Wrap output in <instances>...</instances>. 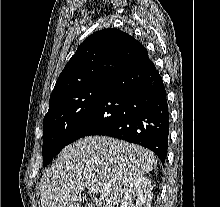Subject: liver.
Masks as SVG:
<instances>
[{"instance_id": "liver-1", "label": "liver", "mask_w": 220, "mask_h": 207, "mask_svg": "<svg viewBox=\"0 0 220 207\" xmlns=\"http://www.w3.org/2000/svg\"><path fill=\"white\" fill-rule=\"evenodd\" d=\"M157 165L153 152L105 136L66 146L40 180L41 207H81V193L100 189L92 207H116L127 187Z\"/></svg>"}]
</instances>
